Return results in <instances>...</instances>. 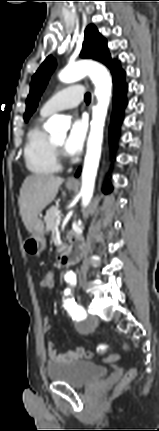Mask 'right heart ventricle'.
<instances>
[{"label": "right heart ventricle", "mask_w": 159, "mask_h": 431, "mask_svg": "<svg viewBox=\"0 0 159 431\" xmlns=\"http://www.w3.org/2000/svg\"><path fill=\"white\" fill-rule=\"evenodd\" d=\"M41 117L27 133L24 146V160L27 169L38 175H50L60 170V164L56 155L52 140L42 129Z\"/></svg>", "instance_id": "right-heart-ventricle-1"}]
</instances>
